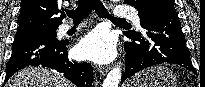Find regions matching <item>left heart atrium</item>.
<instances>
[{
  "instance_id": "1",
  "label": "left heart atrium",
  "mask_w": 205,
  "mask_h": 87,
  "mask_svg": "<svg viewBox=\"0 0 205 87\" xmlns=\"http://www.w3.org/2000/svg\"><path fill=\"white\" fill-rule=\"evenodd\" d=\"M76 52L80 59L107 63L115 57V41L109 32L94 30L81 40Z\"/></svg>"
}]
</instances>
